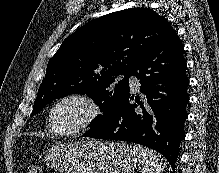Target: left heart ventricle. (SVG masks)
Returning a JSON list of instances; mask_svg holds the SVG:
<instances>
[{
    "mask_svg": "<svg viewBox=\"0 0 219 173\" xmlns=\"http://www.w3.org/2000/svg\"><path fill=\"white\" fill-rule=\"evenodd\" d=\"M84 112V107L75 101L62 103L54 112L57 129L67 131L74 128L82 119Z\"/></svg>",
    "mask_w": 219,
    "mask_h": 173,
    "instance_id": "1",
    "label": "left heart ventricle"
}]
</instances>
